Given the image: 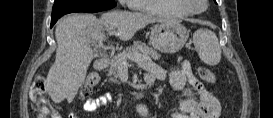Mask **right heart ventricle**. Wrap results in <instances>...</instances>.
<instances>
[{"label":"right heart ventricle","instance_id":"obj_1","mask_svg":"<svg viewBox=\"0 0 273 118\" xmlns=\"http://www.w3.org/2000/svg\"><path fill=\"white\" fill-rule=\"evenodd\" d=\"M133 7L150 13L171 17L188 16V12L182 7L179 0H138L134 2Z\"/></svg>","mask_w":273,"mask_h":118}]
</instances>
